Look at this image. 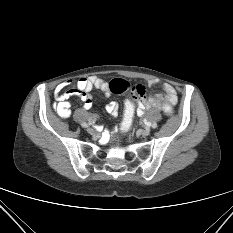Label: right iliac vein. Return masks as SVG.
<instances>
[{
    "label": "right iliac vein",
    "instance_id": "1",
    "mask_svg": "<svg viewBox=\"0 0 233 233\" xmlns=\"http://www.w3.org/2000/svg\"><path fill=\"white\" fill-rule=\"evenodd\" d=\"M87 132L91 135H95L96 134V131L92 128V127H88L87 128Z\"/></svg>",
    "mask_w": 233,
    "mask_h": 233
}]
</instances>
